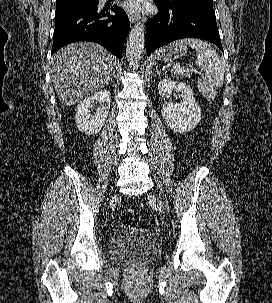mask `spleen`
<instances>
[{"label":"spleen","instance_id":"spleen-1","mask_svg":"<svg viewBox=\"0 0 272 303\" xmlns=\"http://www.w3.org/2000/svg\"><path fill=\"white\" fill-rule=\"evenodd\" d=\"M181 45H189L196 50V65L204 73L197 81V87L207 100L215 99L217 89L224 82L225 61L207 42L196 38H186L180 41Z\"/></svg>","mask_w":272,"mask_h":303}]
</instances>
